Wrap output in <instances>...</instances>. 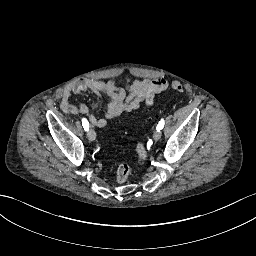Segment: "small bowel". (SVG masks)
Wrapping results in <instances>:
<instances>
[{
  "label": "small bowel",
  "instance_id": "1",
  "mask_svg": "<svg viewBox=\"0 0 256 256\" xmlns=\"http://www.w3.org/2000/svg\"><path fill=\"white\" fill-rule=\"evenodd\" d=\"M167 84L162 79L126 80L119 83L114 80L102 81L84 78L66 85L58 93L60 108L66 114L89 116L92 124L103 128L109 120L115 119L123 113L137 110L142 105L151 107L155 96L165 91ZM89 91L98 101L94 108L101 103L103 96L109 99L103 118H96L88 105L81 103L73 105L69 101L71 94Z\"/></svg>",
  "mask_w": 256,
  "mask_h": 256
}]
</instances>
